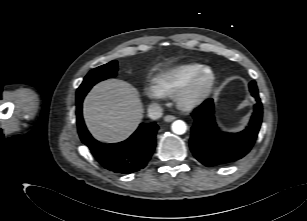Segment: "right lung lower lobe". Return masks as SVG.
<instances>
[{
    "instance_id": "98d812e1",
    "label": "right lung lower lobe",
    "mask_w": 307,
    "mask_h": 221,
    "mask_svg": "<svg viewBox=\"0 0 307 221\" xmlns=\"http://www.w3.org/2000/svg\"><path fill=\"white\" fill-rule=\"evenodd\" d=\"M82 101L83 99L77 101L78 133L98 163L105 169L119 174H129L143 169L155 149L158 130L156 123H141L135 133L121 143L103 144L91 136L84 124Z\"/></svg>"
}]
</instances>
